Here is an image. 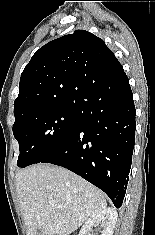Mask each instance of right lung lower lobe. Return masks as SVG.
<instances>
[{"label":"right lung lower lobe","instance_id":"1","mask_svg":"<svg viewBox=\"0 0 155 235\" xmlns=\"http://www.w3.org/2000/svg\"><path fill=\"white\" fill-rule=\"evenodd\" d=\"M74 134L42 163L65 167L103 190L122 205L135 143V106L128 77L91 89L78 104Z\"/></svg>","mask_w":155,"mask_h":235}]
</instances>
